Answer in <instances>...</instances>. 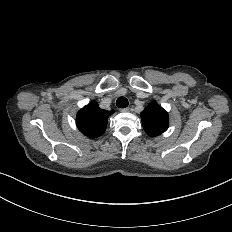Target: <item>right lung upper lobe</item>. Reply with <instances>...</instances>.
<instances>
[{
  "instance_id": "cb5924a9",
  "label": "right lung upper lobe",
  "mask_w": 232,
  "mask_h": 232,
  "mask_svg": "<svg viewBox=\"0 0 232 232\" xmlns=\"http://www.w3.org/2000/svg\"><path fill=\"white\" fill-rule=\"evenodd\" d=\"M113 111L100 109L95 101L82 108L77 113L78 129L89 138L101 136L106 129L107 119Z\"/></svg>"
}]
</instances>
